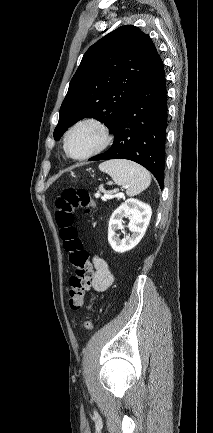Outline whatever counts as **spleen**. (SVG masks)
I'll list each match as a JSON object with an SVG mask.
<instances>
[{"label": "spleen", "instance_id": "obj_1", "mask_svg": "<svg viewBox=\"0 0 213 433\" xmlns=\"http://www.w3.org/2000/svg\"><path fill=\"white\" fill-rule=\"evenodd\" d=\"M99 169L110 175L115 184L123 186L128 196L141 193L151 183L149 172L132 161L109 160L101 163Z\"/></svg>", "mask_w": 213, "mask_h": 433}]
</instances>
